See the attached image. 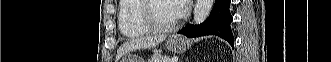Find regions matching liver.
<instances>
[{
  "label": "liver",
  "instance_id": "6515ba94",
  "mask_svg": "<svg viewBox=\"0 0 331 62\" xmlns=\"http://www.w3.org/2000/svg\"><path fill=\"white\" fill-rule=\"evenodd\" d=\"M166 35L147 36L125 42L117 51L116 62L126 53L136 49L153 48L162 43Z\"/></svg>",
  "mask_w": 331,
  "mask_h": 62
}]
</instances>
